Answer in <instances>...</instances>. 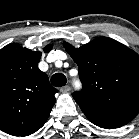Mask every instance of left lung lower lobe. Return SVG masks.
Instances as JSON below:
<instances>
[{
  "label": "left lung lower lobe",
  "mask_w": 139,
  "mask_h": 139,
  "mask_svg": "<svg viewBox=\"0 0 139 139\" xmlns=\"http://www.w3.org/2000/svg\"><path fill=\"white\" fill-rule=\"evenodd\" d=\"M82 111L93 124L106 129L118 128L127 124L139 112L137 109L113 112Z\"/></svg>",
  "instance_id": "1"
}]
</instances>
